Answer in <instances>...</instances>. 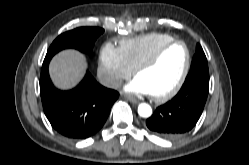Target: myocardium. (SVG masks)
<instances>
[{
  "label": "myocardium",
  "mask_w": 249,
  "mask_h": 165,
  "mask_svg": "<svg viewBox=\"0 0 249 165\" xmlns=\"http://www.w3.org/2000/svg\"><path fill=\"white\" fill-rule=\"evenodd\" d=\"M180 44L184 46L186 50V62L185 66L183 68V71L176 83V85L167 91L166 93L160 94V95H151L152 99L156 102H165L172 97H174L182 88L183 84L185 83V80L188 76L190 67H191V52L188 47V45L182 41V40H177L174 39L172 41H169L163 45H161L150 57H148L145 61L141 62L135 69H134V76H137L140 72L148 69L152 65H154L158 60L161 58L163 53L170 48L173 45Z\"/></svg>",
  "instance_id": "obj_1"
}]
</instances>
